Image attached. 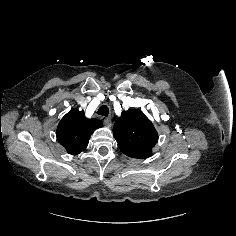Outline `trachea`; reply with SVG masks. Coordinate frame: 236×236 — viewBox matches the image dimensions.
<instances>
[{"mask_svg":"<svg viewBox=\"0 0 236 236\" xmlns=\"http://www.w3.org/2000/svg\"><path fill=\"white\" fill-rule=\"evenodd\" d=\"M97 114H98V115H101V116H108V114H109V108H108L106 105H102V106L98 109Z\"/></svg>","mask_w":236,"mask_h":236,"instance_id":"obj_1","label":"trachea"}]
</instances>
